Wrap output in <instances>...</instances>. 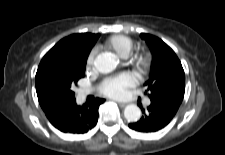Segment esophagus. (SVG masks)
Returning a JSON list of instances; mask_svg holds the SVG:
<instances>
[{
	"instance_id": "obj_1",
	"label": "esophagus",
	"mask_w": 225,
	"mask_h": 155,
	"mask_svg": "<svg viewBox=\"0 0 225 155\" xmlns=\"http://www.w3.org/2000/svg\"><path fill=\"white\" fill-rule=\"evenodd\" d=\"M117 104L120 106V107H125L127 105V103L125 102H117Z\"/></svg>"
}]
</instances>
